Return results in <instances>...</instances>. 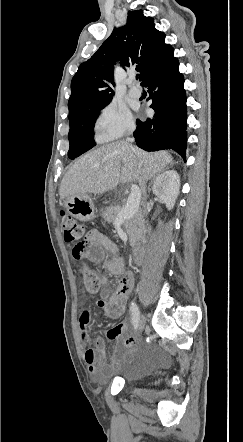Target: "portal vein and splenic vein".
Wrapping results in <instances>:
<instances>
[{
    "mask_svg": "<svg viewBox=\"0 0 243 442\" xmlns=\"http://www.w3.org/2000/svg\"><path fill=\"white\" fill-rule=\"evenodd\" d=\"M138 199H139V190L138 187L132 185L131 194L128 198V201L123 207V209L118 214L116 221H122L124 219L130 218L137 211L138 208Z\"/></svg>",
    "mask_w": 243,
    "mask_h": 442,
    "instance_id": "18ae733b",
    "label": "portal vein and splenic vein"
}]
</instances>
